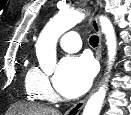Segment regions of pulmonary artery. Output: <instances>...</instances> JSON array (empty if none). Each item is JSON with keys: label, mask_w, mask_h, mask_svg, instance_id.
I'll return each instance as SVG.
<instances>
[{"label": "pulmonary artery", "mask_w": 131, "mask_h": 115, "mask_svg": "<svg viewBox=\"0 0 131 115\" xmlns=\"http://www.w3.org/2000/svg\"><path fill=\"white\" fill-rule=\"evenodd\" d=\"M59 44L67 52H76L81 47V39L77 32L70 31L61 36Z\"/></svg>", "instance_id": "pulmonary-artery-1"}]
</instances>
